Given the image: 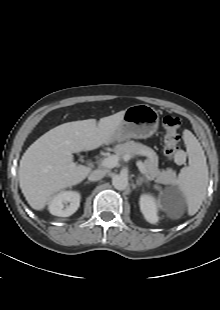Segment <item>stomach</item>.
Masks as SVG:
<instances>
[{"label":"stomach","mask_w":220,"mask_h":310,"mask_svg":"<svg viewBox=\"0 0 220 310\" xmlns=\"http://www.w3.org/2000/svg\"><path fill=\"white\" fill-rule=\"evenodd\" d=\"M158 111L147 104H137L128 107L117 127L114 140L122 141L128 138L146 139L158 129Z\"/></svg>","instance_id":"obj_1"}]
</instances>
